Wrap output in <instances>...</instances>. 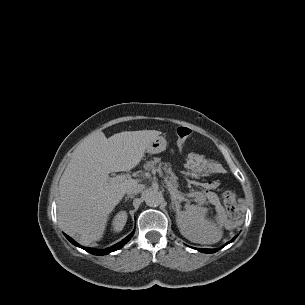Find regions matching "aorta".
<instances>
[{
	"label": "aorta",
	"mask_w": 305,
	"mask_h": 305,
	"mask_svg": "<svg viewBox=\"0 0 305 305\" xmlns=\"http://www.w3.org/2000/svg\"><path fill=\"white\" fill-rule=\"evenodd\" d=\"M162 194L157 190H147L144 195L146 205L150 207H157L162 202Z\"/></svg>",
	"instance_id": "762f6f07"
}]
</instances>
